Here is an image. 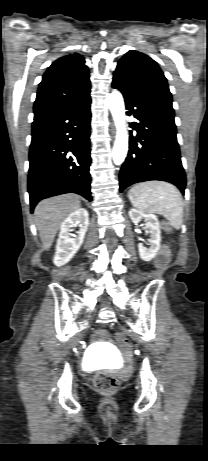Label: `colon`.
Wrapping results in <instances>:
<instances>
[{"mask_svg": "<svg viewBox=\"0 0 208 461\" xmlns=\"http://www.w3.org/2000/svg\"><path fill=\"white\" fill-rule=\"evenodd\" d=\"M164 227L166 230H170V227L168 225H165ZM167 256H168L167 249H163L158 256V259H157L158 263L163 264L166 261ZM115 340L120 344L127 343L125 336L120 332H117L115 334ZM93 382H94V387L99 392H102V393L113 392L119 387V380L115 376L109 373H105V372L97 373L94 377Z\"/></svg>", "mask_w": 208, "mask_h": 461, "instance_id": "1", "label": "colon"}]
</instances>
